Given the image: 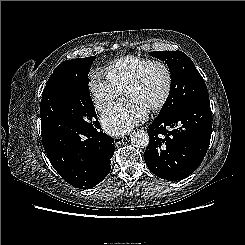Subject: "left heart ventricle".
<instances>
[{"label": "left heart ventricle", "mask_w": 245, "mask_h": 245, "mask_svg": "<svg viewBox=\"0 0 245 245\" xmlns=\"http://www.w3.org/2000/svg\"><path fill=\"white\" fill-rule=\"evenodd\" d=\"M165 83L166 77L162 67L152 65L137 85L124 91V96L126 98L134 97L150 108L161 98L165 89Z\"/></svg>", "instance_id": "1"}]
</instances>
